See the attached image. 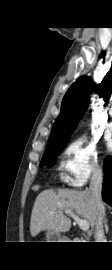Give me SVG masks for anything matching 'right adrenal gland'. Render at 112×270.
<instances>
[{"label":"right adrenal gland","mask_w":112,"mask_h":270,"mask_svg":"<svg viewBox=\"0 0 112 270\" xmlns=\"http://www.w3.org/2000/svg\"><path fill=\"white\" fill-rule=\"evenodd\" d=\"M104 226H105L106 233H108L109 227L107 225V218L104 219Z\"/></svg>","instance_id":"2a0ac1e0"}]
</instances>
